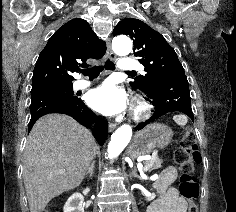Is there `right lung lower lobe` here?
I'll return each instance as SVG.
<instances>
[{"instance_id":"obj_1","label":"right lung lower lobe","mask_w":236,"mask_h":212,"mask_svg":"<svg viewBox=\"0 0 236 212\" xmlns=\"http://www.w3.org/2000/svg\"><path fill=\"white\" fill-rule=\"evenodd\" d=\"M31 120L29 131L34 123L43 115L49 113L67 114L82 125L96 124L93 135L99 144L103 145L108 135V122L99 119L81 99L70 101L46 89H33L30 105Z\"/></svg>"}]
</instances>
